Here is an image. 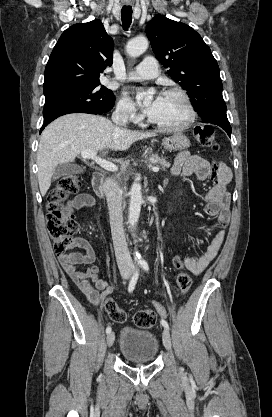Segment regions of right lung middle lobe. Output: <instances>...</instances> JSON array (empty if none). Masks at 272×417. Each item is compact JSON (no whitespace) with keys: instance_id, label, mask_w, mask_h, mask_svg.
I'll return each instance as SVG.
<instances>
[{"instance_id":"obj_1","label":"right lung middle lobe","mask_w":272,"mask_h":417,"mask_svg":"<svg viewBox=\"0 0 272 417\" xmlns=\"http://www.w3.org/2000/svg\"><path fill=\"white\" fill-rule=\"evenodd\" d=\"M45 106L44 119L65 108L74 106H91L107 110L114 105V95L111 90L100 83L93 85L62 86L43 91Z\"/></svg>"}]
</instances>
